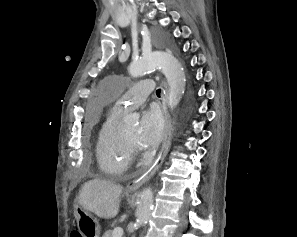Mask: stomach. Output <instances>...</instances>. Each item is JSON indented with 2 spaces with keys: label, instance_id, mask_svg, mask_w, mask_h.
<instances>
[{
  "label": "stomach",
  "instance_id": "stomach-1",
  "mask_svg": "<svg viewBox=\"0 0 297 237\" xmlns=\"http://www.w3.org/2000/svg\"><path fill=\"white\" fill-rule=\"evenodd\" d=\"M74 214L82 237H99L100 225L96 218L80 206L76 207Z\"/></svg>",
  "mask_w": 297,
  "mask_h": 237
}]
</instances>
